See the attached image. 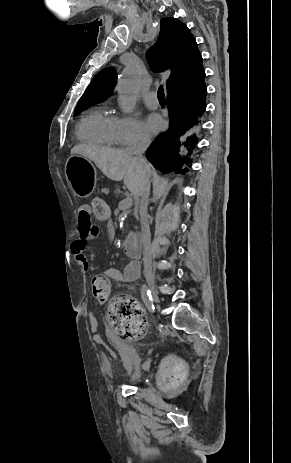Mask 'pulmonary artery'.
Returning a JSON list of instances; mask_svg holds the SVG:
<instances>
[{
    "label": "pulmonary artery",
    "instance_id": "pulmonary-artery-1",
    "mask_svg": "<svg viewBox=\"0 0 291 463\" xmlns=\"http://www.w3.org/2000/svg\"><path fill=\"white\" fill-rule=\"evenodd\" d=\"M144 101L146 105L150 108H157L159 105V101L157 98V94L155 92H149L145 95Z\"/></svg>",
    "mask_w": 291,
    "mask_h": 463
}]
</instances>
